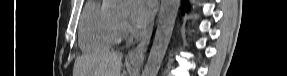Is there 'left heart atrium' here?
<instances>
[{
    "label": "left heart atrium",
    "instance_id": "39dd6f15",
    "mask_svg": "<svg viewBox=\"0 0 287 76\" xmlns=\"http://www.w3.org/2000/svg\"><path fill=\"white\" fill-rule=\"evenodd\" d=\"M156 4L153 0H133L131 19L136 27H145L153 18Z\"/></svg>",
    "mask_w": 287,
    "mask_h": 76
}]
</instances>
